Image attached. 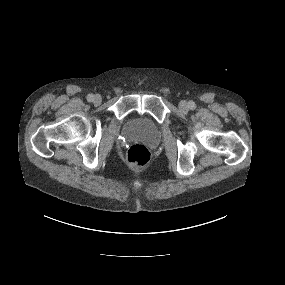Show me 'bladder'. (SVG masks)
<instances>
[{
	"mask_svg": "<svg viewBox=\"0 0 285 285\" xmlns=\"http://www.w3.org/2000/svg\"><path fill=\"white\" fill-rule=\"evenodd\" d=\"M128 131L133 136L149 144L155 142L158 139L157 129L149 125L131 123L128 126Z\"/></svg>",
	"mask_w": 285,
	"mask_h": 285,
	"instance_id": "1",
	"label": "bladder"
}]
</instances>
